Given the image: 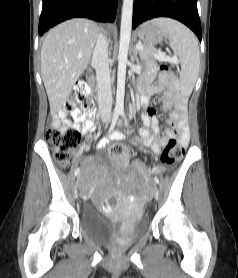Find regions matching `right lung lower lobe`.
<instances>
[{
	"mask_svg": "<svg viewBox=\"0 0 238 278\" xmlns=\"http://www.w3.org/2000/svg\"><path fill=\"white\" fill-rule=\"evenodd\" d=\"M118 0H43L39 21V35L70 18H89L99 22H113Z\"/></svg>",
	"mask_w": 238,
	"mask_h": 278,
	"instance_id": "98d812e1",
	"label": "right lung lower lobe"
}]
</instances>
